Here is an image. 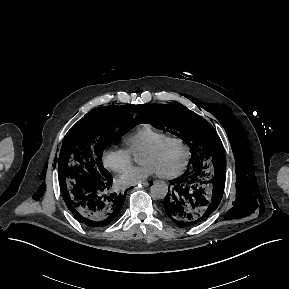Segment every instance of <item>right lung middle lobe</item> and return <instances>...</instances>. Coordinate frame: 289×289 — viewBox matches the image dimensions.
Instances as JSON below:
<instances>
[{
	"label": "right lung middle lobe",
	"instance_id": "obj_1",
	"mask_svg": "<svg viewBox=\"0 0 289 289\" xmlns=\"http://www.w3.org/2000/svg\"><path fill=\"white\" fill-rule=\"evenodd\" d=\"M138 106L97 108L72 127L63 141L58 162L62 194L93 186L110 174L101 163V154L110 143L138 124L132 117L138 112Z\"/></svg>",
	"mask_w": 289,
	"mask_h": 289
}]
</instances>
